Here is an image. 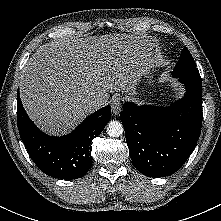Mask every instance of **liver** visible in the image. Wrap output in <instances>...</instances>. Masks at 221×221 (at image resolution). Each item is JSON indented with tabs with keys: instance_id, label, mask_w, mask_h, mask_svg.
Returning a JSON list of instances; mask_svg holds the SVG:
<instances>
[{
	"instance_id": "liver-1",
	"label": "liver",
	"mask_w": 221,
	"mask_h": 221,
	"mask_svg": "<svg viewBox=\"0 0 221 221\" xmlns=\"http://www.w3.org/2000/svg\"><path fill=\"white\" fill-rule=\"evenodd\" d=\"M154 44L147 37L106 34L65 37L38 48L22 70L20 98L29 117L51 135L74 129L111 92L130 93L154 66Z\"/></svg>"
}]
</instances>
